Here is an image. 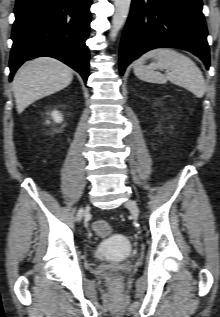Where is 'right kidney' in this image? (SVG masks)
I'll list each match as a JSON object with an SVG mask.
<instances>
[{
    "instance_id": "1",
    "label": "right kidney",
    "mask_w": 220,
    "mask_h": 317,
    "mask_svg": "<svg viewBox=\"0 0 220 317\" xmlns=\"http://www.w3.org/2000/svg\"><path fill=\"white\" fill-rule=\"evenodd\" d=\"M51 116L56 123H60L63 120L62 115L58 111H53Z\"/></svg>"
}]
</instances>
